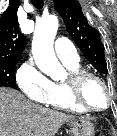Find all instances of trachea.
I'll list each match as a JSON object with an SVG mask.
<instances>
[{"label": "trachea", "mask_w": 117, "mask_h": 136, "mask_svg": "<svg viewBox=\"0 0 117 136\" xmlns=\"http://www.w3.org/2000/svg\"><path fill=\"white\" fill-rule=\"evenodd\" d=\"M32 5L36 8V9H41L44 6V1L43 0H32Z\"/></svg>", "instance_id": "3493384b"}]
</instances>
